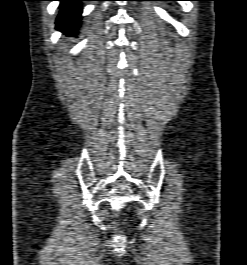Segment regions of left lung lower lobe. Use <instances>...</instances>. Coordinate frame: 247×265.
<instances>
[{
	"mask_svg": "<svg viewBox=\"0 0 247 265\" xmlns=\"http://www.w3.org/2000/svg\"><path fill=\"white\" fill-rule=\"evenodd\" d=\"M161 1H181V0H161Z\"/></svg>",
	"mask_w": 247,
	"mask_h": 265,
	"instance_id": "obj_1",
	"label": "left lung lower lobe"
}]
</instances>
